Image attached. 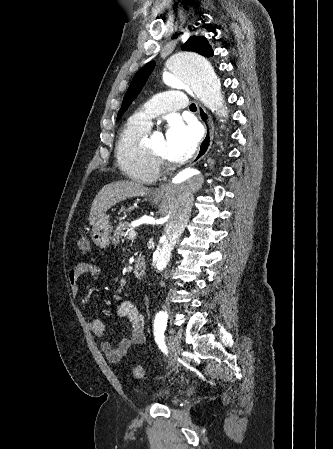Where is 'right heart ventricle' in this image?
I'll list each match as a JSON object with an SVG mask.
<instances>
[{"label":"right heart ventricle","instance_id":"right-heart-ventricle-1","mask_svg":"<svg viewBox=\"0 0 333 449\" xmlns=\"http://www.w3.org/2000/svg\"><path fill=\"white\" fill-rule=\"evenodd\" d=\"M149 130V126L133 117L121 130L115 145V156L122 171L141 183H151L159 174V167L145 145Z\"/></svg>","mask_w":333,"mask_h":449}]
</instances>
